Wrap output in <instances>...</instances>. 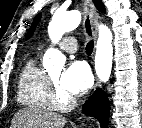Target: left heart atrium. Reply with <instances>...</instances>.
I'll return each mask as SVG.
<instances>
[{
    "instance_id": "39dd6f15",
    "label": "left heart atrium",
    "mask_w": 142,
    "mask_h": 128,
    "mask_svg": "<svg viewBox=\"0 0 142 128\" xmlns=\"http://www.w3.org/2000/svg\"><path fill=\"white\" fill-rule=\"evenodd\" d=\"M92 83V75L85 62H71L59 79V86L68 96L83 94Z\"/></svg>"
}]
</instances>
